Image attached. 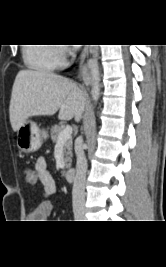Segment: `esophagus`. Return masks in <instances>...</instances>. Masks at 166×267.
I'll list each match as a JSON object with an SVG mask.
<instances>
[{"label":"esophagus","mask_w":166,"mask_h":267,"mask_svg":"<svg viewBox=\"0 0 166 267\" xmlns=\"http://www.w3.org/2000/svg\"><path fill=\"white\" fill-rule=\"evenodd\" d=\"M87 53H88V48L85 47L81 53V64L84 62ZM81 78L84 82L89 81V74L87 73V69L85 68L81 69Z\"/></svg>","instance_id":"obj_1"}]
</instances>
